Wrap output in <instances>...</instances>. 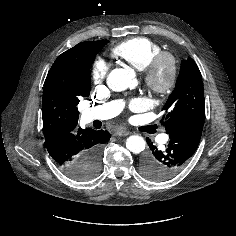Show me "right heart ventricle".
Wrapping results in <instances>:
<instances>
[{
  "mask_svg": "<svg viewBox=\"0 0 236 236\" xmlns=\"http://www.w3.org/2000/svg\"><path fill=\"white\" fill-rule=\"evenodd\" d=\"M161 51L162 46L152 39L133 37L114 46L111 55L138 70H143L152 58Z\"/></svg>",
  "mask_w": 236,
  "mask_h": 236,
  "instance_id": "1",
  "label": "right heart ventricle"
}]
</instances>
